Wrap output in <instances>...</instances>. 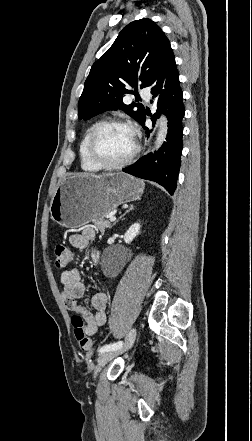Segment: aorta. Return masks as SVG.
Wrapping results in <instances>:
<instances>
[{
	"label": "aorta",
	"mask_w": 252,
	"mask_h": 441,
	"mask_svg": "<svg viewBox=\"0 0 252 441\" xmlns=\"http://www.w3.org/2000/svg\"><path fill=\"white\" fill-rule=\"evenodd\" d=\"M166 134H167V120L165 117L162 116L160 119V129L156 137V144H155L156 149H158L165 141Z\"/></svg>",
	"instance_id": "aorta-1"
}]
</instances>
